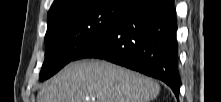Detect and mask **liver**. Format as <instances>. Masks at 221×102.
Instances as JSON below:
<instances>
[{"mask_svg":"<svg viewBox=\"0 0 221 102\" xmlns=\"http://www.w3.org/2000/svg\"><path fill=\"white\" fill-rule=\"evenodd\" d=\"M157 82L104 60L70 63L38 93L37 102H150Z\"/></svg>","mask_w":221,"mask_h":102,"instance_id":"obj_1","label":"liver"}]
</instances>
